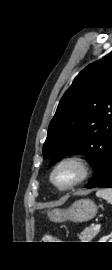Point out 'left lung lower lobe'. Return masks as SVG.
<instances>
[{"label": "left lung lower lobe", "instance_id": "1", "mask_svg": "<svg viewBox=\"0 0 112 270\" xmlns=\"http://www.w3.org/2000/svg\"><path fill=\"white\" fill-rule=\"evenodd\" d=\"M86 187L112 188V148L110 149L98 175H96L92 181L86 185Z\"/></svg>", "mask_w": 112, "mask_h": 270}]
</instances>
